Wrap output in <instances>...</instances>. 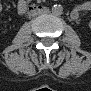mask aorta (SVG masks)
<instances>
[{"label": "aorta", "instance_id": "762f6f07", "mask_svg": "<svg viewBox=\"0 0 91 91\" xmlns=\"http://www.w3.org/2000/svg\"><path fill=\"white\" fill-rule=\"evenodd\" d=\"M63 12V7L61 5H54L52 7V14L55 16H60Z\"/></svg>", "mask_w": 91, "mask_h": 91}]
</instances>
